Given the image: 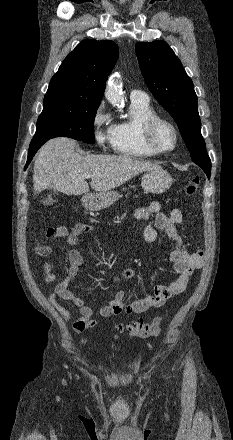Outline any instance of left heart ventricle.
I'll use <instances>...</instances> for the list:
<instances>
[{"label":"left heart ventricle","mask_w":233,"mask_h":440,"mask_svg":"<svg viewBox=\"0 0 233 440\" xmlns=\"http://www.w3.org/2000/svg\"><path fill=\"white\" fill-rule=\"evenodd\" d=\"M155 142L161 148H171L174 144V135L172 130L165 124L159 125L155 132Z\"/></svg>","instance_id":"obj_1"}]
</instances>
